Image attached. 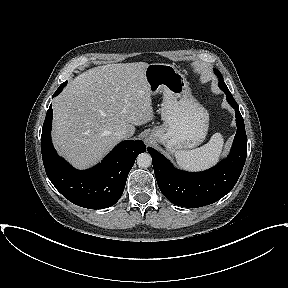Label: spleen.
I'll list each match as a JSON object with an SVG mask.
<instances>
[{"label": "spleen", "mask_w": 288, "mask_h": 288, "mask_svg": "<svg viewBox=\"0 0 288 288\" xmlns=\"http://www.w3.org/2000/svg\"><path fill=\"white\" fill-rule=\"evenodd\" d=\"M224 139L220 133L212 135L210 141L194 150L175 152L177 164L188 171L205 170L215 165L220 158Z\"/></svg>", "instance_id": "3e777b00"}]
</instances>
